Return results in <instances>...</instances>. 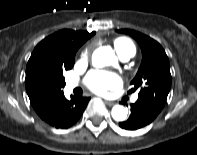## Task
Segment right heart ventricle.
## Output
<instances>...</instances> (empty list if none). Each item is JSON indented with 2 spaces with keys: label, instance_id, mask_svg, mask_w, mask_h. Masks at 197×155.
<instances>
[{
  "label": "right heart ventricle",
  "instance_id": "right-heart-ventricle-1",
  "mask_svg": "<svg viewBox=\"0 0 197 155\" xmlns=\"http://www.w3.org/2000/svg\"><path fill=\"white\" fill-rule=\"evenodd\" d=\"M114 47L120 56L126 54L133 56L136 51L134 44L126 38L116 39L114 41Z\"/></svg>",
  "mask_w": 197,
  "mask_h": 155
}]
</instances>
